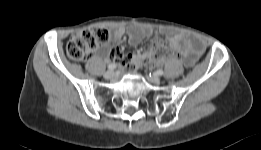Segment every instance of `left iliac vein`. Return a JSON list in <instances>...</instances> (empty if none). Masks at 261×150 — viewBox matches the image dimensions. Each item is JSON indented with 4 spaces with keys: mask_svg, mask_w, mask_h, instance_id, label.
Here are the masks:
<instances>
[{
    "mask_svg": "<svg viewBox=\"0 0 261 150\" xmlns=\"http://www.w3.org/2000/svg\"><path fill=\"white\" fill-rule=\"evenodd\" d=\"M147 80L151 83H154V84H159L160 83V78L156 75H150V76H147Z\"/></svg>",
    "mask_w": 261,
    "mask_h": 150,
    "instance_id": "4c4485c4",
    "label": "left iliac vein"
}]
</instances>
